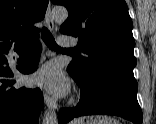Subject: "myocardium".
Masks as SVG:
<instances>
[{"label":"myocardium","instance_id":"1","mask_svg":"<svg viewBox=\"0 0 156 124\" xmlns=\"http://www.w3.org/2000/svg\"><path fill=\"white\" fill-rule=\"evenodd\" d=\"M78 101V96L77 95H73L70 99V104H75Z\"/></svg>","mask_w":156,"mask_h":124}]
</instances>
